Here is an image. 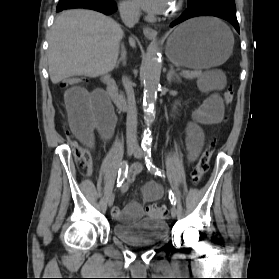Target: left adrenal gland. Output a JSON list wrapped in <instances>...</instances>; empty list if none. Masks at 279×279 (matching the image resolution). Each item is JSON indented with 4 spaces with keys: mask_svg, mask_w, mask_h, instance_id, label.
Here are the masks:
<instances>
[{
    "mask_svg": "<svg viewBox=\"0 0 279 279\" xmlns=\"http://www.w3.org/2000/svg\"><path fill=\"white\" fill-rule=\"evenodd\" d=\"M167 81L171 83L172 81L181 82L179 75L174 71L173 66H170V70L167 73Z\"/></svg>",
    "mask_w": 279,
    "mask_h": 279,
    "instance_id": "left-adrenal-gland-1",
    "label": "left adrenal gland"
}]
</instances>
